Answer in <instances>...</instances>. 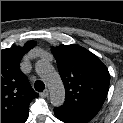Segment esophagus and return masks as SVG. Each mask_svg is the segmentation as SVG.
Returning a JSON list of instances; mask_svg holds the SVG:
<instances>
[{"label": "esophagus", "mask_w": 123, "mask_h": 123, "mask_svg": "<svg viewBox=\"0 0 123 123\" xmlns=\"http://www.w3.org/2000/svg\"><path fill=\"white\" fill-rule=\"evenodd\" d=\"M48 95H49V91L47 89H45L43 92L40 93V96L43 98L48 97Z\"/></svg>", "instance_id": "esophagus-1"}]
</instances>
